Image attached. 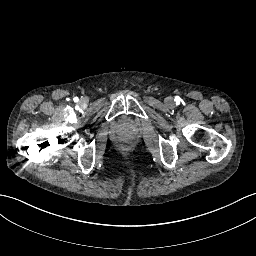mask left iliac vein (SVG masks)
Listing matches in <instances>:
<instances>
[{
	"mask_svg": "<svg viewBox=\"0 0 256 256\" xmlns=\"http://www.w3.org/2000/svg\"><path fill=\"white\" fill-rule=\"evenodd\" d=\"M165 102L169 107H172L174 105V100L171 97H167Z\"/></svg>",
	"mask_w": 256,
	"mask_h": 256,
	"instance_id": "left-iliac-vein-1",
	"label": "left iliac vein"
}]
</instances>
